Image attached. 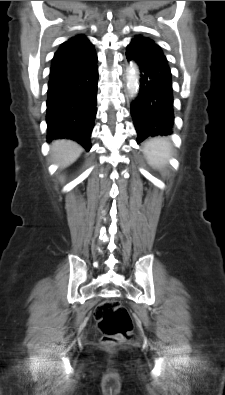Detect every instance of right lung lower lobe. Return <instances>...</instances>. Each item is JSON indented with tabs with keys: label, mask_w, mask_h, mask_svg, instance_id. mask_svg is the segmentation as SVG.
Returning a JSON list of instances; mask_svg holds the SVG:
<instances>
[{
	"label": "right lung lower lobe",
	"mask_w": 225,
	"mask_h": 395,
	"mask_svg": "<svg viewBox=\"0 0 225 395\" xmlns=\"http://www.w3.org/2000/svg\"><path fill=\"white\" fill-rule=\"evenodd\" d=\"M97 58L89 65L50 75L47 99V141L72 139L87 151L97 104Z\"/></svg>",
	"instance_id": "obj_1"
}]
</instances>
